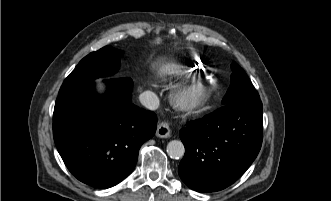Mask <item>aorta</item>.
Masks as SVG:
<instances>
[{"mask_svg": "<svg viewBox=\"0 0 331 201\" xmlns=\"http://www.w3.org/2000/svg\"><path fill=\"white\" fill-rule=\"evenodd\" d=\"M167 153L171 158H181L185 153L184 145L179 140H172L167 145Z\"/></svg>", "mask_w": 331, "mask_h": 201, "instance_id": "aorta-1", "label": "aorta"}]
</instances>
